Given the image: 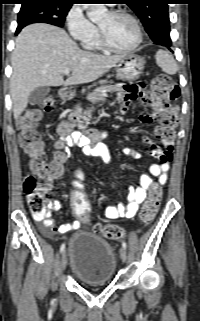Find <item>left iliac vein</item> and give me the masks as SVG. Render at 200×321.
Masks as SVG:
<instances>
[{"instance_id":"left-iliac-vein-1","label":"left iliac vein","mask_w":200,"mask_h":321,"mask_svg":"<svg viewBox=\"0 0 200 321\" xmlns=\"http://www.w3.org/2000/svg\"><path fill=\"white\" fill-rule=\"evenodd\" d=\"M120 257H121L122 261H124V262L127 259V251H126V249L124 247H122L120 249Z\"/></svg>"}]
</instances>
